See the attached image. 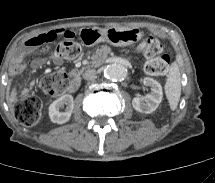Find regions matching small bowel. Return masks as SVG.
<instances>
[{
    "label": "small bowel",
    "mask_w": 215,
    "mask_h": 183,
    "mask_svg": "<svg viewBox=\"0 0 215 183\" xmlns=\"http://www.w3.org/2000/svg\"><path fill=\"white\" fill-rule=\"evenodd\" d=\"M69 32V30L66 29H60V30H49L46 32H43L39 35L33 36L31 38H29L26 42L27 48L29 49H37L38 47H36V43H41V46H44L48 43L53 42L57 36H59L60 34ZM39 47V48H40ZM52 62L54 64H60V60L56 57H53ZM48 63V60L45 58H38L33 62V65L35 67H42L45 66ZM26 61L23 57V55H19L14 64L11 66L10 68V75L11 76H16L21 74L25 69H26ZM32 84H30V86L25 87L21 90V94H26L30 89H31ZM17 91L15 90H11L9 93V98L11 100H14L17 97Z\"/></svg>",
    "instance_id": "c3829d8e"
}]
</instances>
